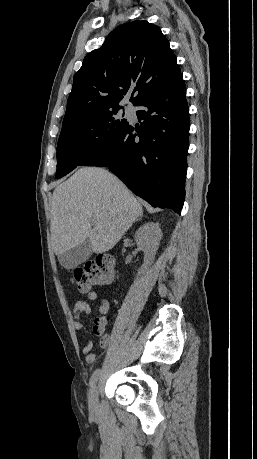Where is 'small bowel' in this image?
<instances>
[{"label":"small bowel","mask_w":257,"mask_h":459,"mask_svg":"<svg viewBox=\"0 0 257 459\" xmlns=\"http://www.w3.org/2000/svg\"><path fill=\"white\" fill-rule=\"evenodd\" d=\"M98 295L95 291L89 290L86 292V300H78L74 304V329L83 333L87 332V327L84 319L90 314V302L95 301ZM110 310V304L107 299H102L99 306L100 316L96 317L93 321V333L99 337V345L105 349L109 345V335L106 332L107 327V314ZM93 341L89 340L82 348V353L85 356L86 363L92 365L96 361V354L93 352Z\"/></svg>","instance_id":"obj_1"}]
</instances>
